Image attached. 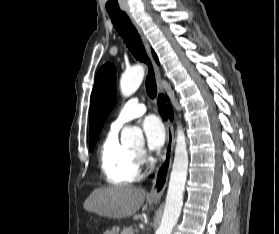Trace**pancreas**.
I'll return each mask as SVG.
<instances>
[{
    "label": "pancreas",
    "instance_id": "pancreas-1",
    "mask_svg": "<svg viewBox=\"0 0 279 234\" xmlns=\"http://www.w3.org/2000/svg\"><path fill=\"white\" fill-rule=\"evenodd\" d=\"M120 234H134L133 228L132 227L124 228Z\"/></svg>",
    "mask_w": 279,
    "mask_h": 234
}]
</instances>
